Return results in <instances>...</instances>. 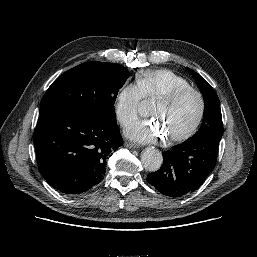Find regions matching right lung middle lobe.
<instances>
[{
    "label": "right lung middle lobe",
    "instance_id": "obj_1",
    "mask_svg": "<svg viewBox=\"0 0 257 257\" xmlns=\"http://www.w3.org/2000/svg\"><path fill=\"white\" fill-rule=\"evenodd\" d=\"M128 77V70L116 63H82L51 84L41 101L40 115L52 110L73 108L115 119L114 103Z\"/></svg>",
    "mask_w": 257,
    "mask_h": 257
}]
</instances>
